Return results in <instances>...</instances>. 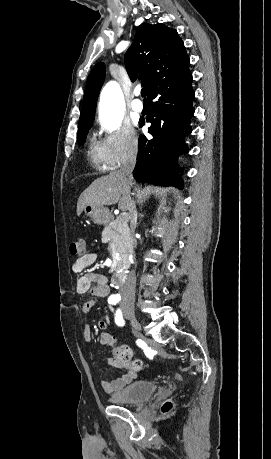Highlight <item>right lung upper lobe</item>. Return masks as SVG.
<instances>
[{"instance_id":"cb5924a9","label":"right lung upper lobe","mask_w":271,"mask_h":459,"mask_svg":"<svg viewBox=\"0 0 271 459\" xmlns=\"http://www.w3.org/2000/svg\"><path fill=\"white\" fill-rule=\"evenodd\" d=\"M132 81L142 80L148 96L163 82L189 71L190 60L175 29L164 24L142 23L124 57ZM105 66L98 63L90 72L80 121L94 119L97 97L104 81Z\"/></svg>"}]
</instances>
